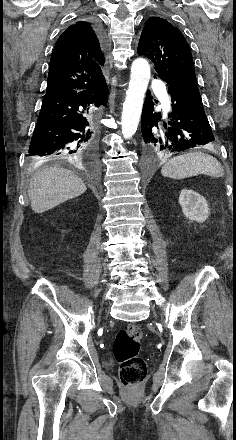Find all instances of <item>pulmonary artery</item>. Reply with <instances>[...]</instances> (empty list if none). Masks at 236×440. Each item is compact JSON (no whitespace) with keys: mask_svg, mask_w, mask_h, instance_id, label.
<instances>
[{"mask_svg":"<svg viewBox=\"0 0 236 440\" xmlns=\"http://www.w3.org/2000/svg\"><path fill=\"white\" fill-rule=\"evenodd\" d=\"M155 88L158 92L161 93L162 102H163L165 108L167 110H169L170 109V101H169V97L167 95L165 83L163 81H157L155 84Z\"/></svg>","mask_w":236,"mask_h":440,"instance_id":"obj_1","label":"pulmonary artery"}]
</instances>
